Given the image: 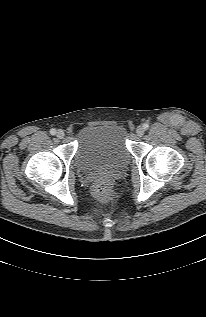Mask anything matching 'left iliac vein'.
I'll use <instances>...</instances> for the list:
<instances>
[{"mask_svg":"<svg viewBox=\"0 0 206 317\" xmlns=\"http://www.w3.org/2000/svg\"><path fill=\"white\" fill-rule=\"evenodd\" d=\"M144 132H145V130L142 126L137 127V129H136L137 136H139V137L143 136Z\"/></svg>","mask_w":206,"mask_h":317,"instance_id":"4c4485c4","label":"left iliac vein"}]
</instances>
